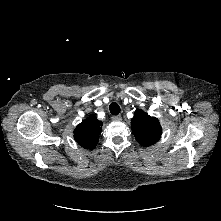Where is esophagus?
Segmentation results:
<instances>
[{
  "label": "esophagus",
  "mask_w": 221,
  "mask_h": 221,
  "mask_svg": "<svg viewBox=\"0 0 221 221\" xmlns=\"http://www.w3.org/2000/svg\"><path fill=\"white\" fill-rule=\"evenodd\" d=\"M112 120H113V121H121V120H122V117H121V115H116V116H113V117H112Z\"/></svg>",
  "instance_id": "obj_1"
}]
</instances>
